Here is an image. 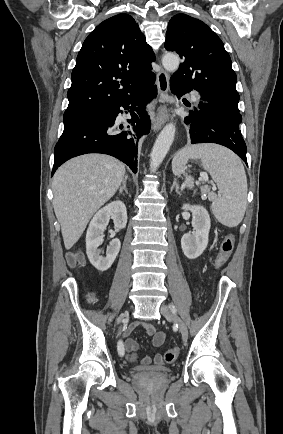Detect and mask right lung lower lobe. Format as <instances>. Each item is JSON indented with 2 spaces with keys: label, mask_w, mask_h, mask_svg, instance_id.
Wrapping results in <instances>:
<instances>
[{
  "label": "right lung lower lobe",
  "mask_w": 283,
  "mask_h": 434,
  "mask_svg": "<svg viewBox=\"0 0 283 434\" xmlns=\"http://www.w3.org/2000/svg\"><path fill=\"white\" fill-rule=\"evenodd\" d=\"M155 79L153 73L125 98L100 112L65 123L63 134L54 149L52 175L65 161L87 153L114 156L136 173L138 141L150 131L145 105L157 95ZM122 109L131 116L127 126L115 123L118 114L123 113Z\"/></svg>",
  "instance_id": "obj_1"
}]
</instances>
